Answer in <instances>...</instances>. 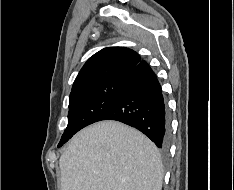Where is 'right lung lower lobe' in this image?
<instances>
[{
	"label": "right lung lower lobe",
	"mask_w": 234,
	"mask_h": 190,
	"mask_svg": "<svg viewBox=\"0 0 234 190\" xmlns=\"http://www.w3.org/2000/svg\"><path fill=\"white\" fill-rule=\"evenodd\" d=\"M116 120L132 126L161 150L169 143V118L162 89L155 73L143 60L124 78L119 94L99 121Z\"/></svg>",
	"instance_id": "obj_1"
}]
</instances>
